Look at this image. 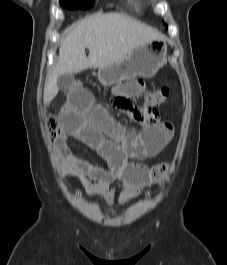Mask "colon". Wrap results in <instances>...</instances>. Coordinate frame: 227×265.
Listing matches in <instances>:
<instances>
[{
    "label": "colon",
    "instance_id": "obj_1",
    "mask_svg": "<svg viewBox=\"0 0 227 265\" xmlns=\"http://www.w3.org/2000/svg\"><path fill=\"white\" fill-rule=\"evenodd\" d=\"M70 87H82L80 83H74ZM67 91V90H66ZM170 95V89L167 84L162 87L148 92L145 95L144 103L141 107V112H129L132 114V117L137 121L146 124V125H156L159 122V111L158 107L163 104ZM115 99H127L122 96H117ZM49 131L54 138V140H58L60 135V121L56 118H51L49 120ZM166 165L158 164L151 168V173L154 177L160 178L164 171Z\"/></svg>",
    "mask_w": 227,
    "mask_h": 265
}]
</instances>
